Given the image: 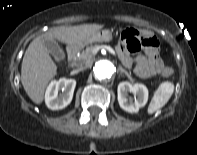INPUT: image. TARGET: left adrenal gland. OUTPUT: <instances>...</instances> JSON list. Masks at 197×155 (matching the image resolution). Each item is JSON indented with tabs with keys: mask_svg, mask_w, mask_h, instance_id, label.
<instances>
[{
	"mask_svg": "<svg viewBox=\"0 0 197 155\" xmlns=\"http://www.w3.org/2000/svg\"><path fill=\"white\" fill-rule=\"evenodd\" d=\"M119 70L121 73H124L130 80H131V76L130 74L125 70L123 69L121 66L119 67Z\"/></svg>",
	"mask_w": 197,
	"mask_h": 155,
	"instance_id": "1",
	"label": "left adrenal gland"
}]
</instances>
